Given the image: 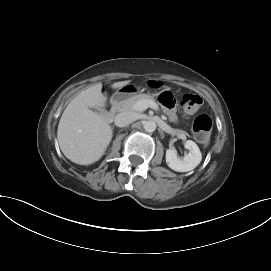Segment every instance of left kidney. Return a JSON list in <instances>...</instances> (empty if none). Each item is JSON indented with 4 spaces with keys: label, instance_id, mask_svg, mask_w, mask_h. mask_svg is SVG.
I'll return each mask as SVG.
<instances>
[{
    "label": "left kidney",
    "instance_id": "left-kidney-1",
    "mask_svg": "<svg viewBox=\"0 0 271 271\" xmlns=\"http://www.w3.org/2000/svg\"><path fill=\"white\" fill-rule=\"evenodd\" d=\"M185 148L189 150V153L184 155L182 159L178 157L175 148L166 150V162L172 170L177 172H188L197 167L201 162L202 154L195 142L187 140L185 142Z\"/></svg>",
    "mask_w": 271,
    "mask_h": 271
}]
</instances>
